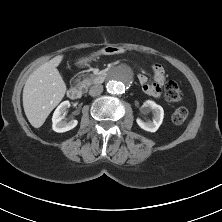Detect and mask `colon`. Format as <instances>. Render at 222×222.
<instances>
[{
  "mask_svg": "<svg viewBox=\"0 0 222 222\" xmlns=\"http://www.w3.org/2000/svg\"><path fill=\"white\" fill-rule=\"evenodd\" d=\"M164 97L168 102L175 103L182 99L183 94L179 85L170 81L165 85ZM187 116L188 110L185 107H179L173 112L172 121L175 124H181L187 119Z\"/></svg>",
  "mask_w": 222,
  "mask_h": 222,
  "instance_id": "1",
  "label": "colon"
}]
</instances>
